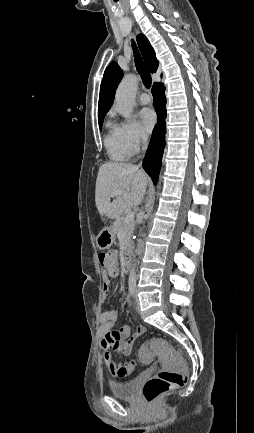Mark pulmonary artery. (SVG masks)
Here are the masks:
<instances>
[{"label": "pulmonary artery", "instance_id": "e3ab8cb5", "mask_svg": "<svg viewBox=\"0 0 254 433\" xmlns=\"http://www.w3.org/2000/svg\"><path fill=\"white\" fill-rule=\"evenodd\" d=\"M150 101H151V98H150V96H149L147 93H142V94L139 96V102H140L142 105H146V104L150 103Z\"/></svg>", "mask_w": 254, "mask_h": 433}]
</instances>
